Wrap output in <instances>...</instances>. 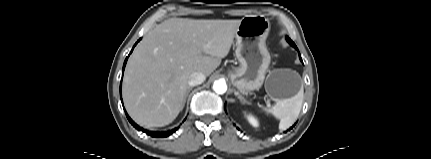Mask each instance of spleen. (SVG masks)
Wrapping results in <instances>:
<instances>
[{
  "label": "spleen",
  "instance_id": "3e777b00",
  "mask_svg": "<svg viewBox=\"0 0 431 159\" xmlns=\"http://www.w3.org/2000/svg\"><path fill=\"white\" fill-rule=\"evenodd\" d=\"M303 99L304 90L302 87L298 94L294 97L289 99L276 100V103L272 107L263 109L280 120V130H286L298 118L302 108Z\"/></svg>",
  "mask_w": 431,
  "mask_h": 159
}]
</instances>
